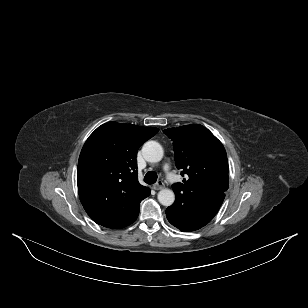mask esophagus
Returning <instances> with one entry per match:
<instances>
[{
	"mask_svg": "<svg viewBox=\"0 0 308 308\" xmlns=\"http://www.w3.org/2000/svg\"><path fill=\"white\" fill-rule=\"evenodd\" d=\"M164 187V183L162 181H158L156 184L153 185V189L160 190Z\"/></svg>",
	"mask_w": 308,
	"mask_h": 308,
	"instance_id": "esophagus-1",
	"label": "esophagus"
}]
</instances>
